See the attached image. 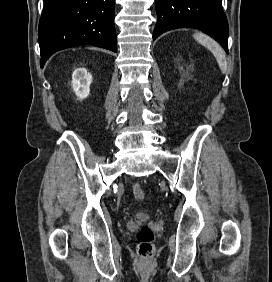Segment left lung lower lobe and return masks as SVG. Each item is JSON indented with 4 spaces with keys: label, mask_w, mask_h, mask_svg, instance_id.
I'll use <instances>...</instances> for the list:
<instances>
[{
    "label": "left lung lower lobe",
    "mask_w": 272,
    "mask_h": 282,
    "mask_svg": "<svg viewBox=\"0 0 272 282\" xmlns=\"http://www.w3.org/2000/svg\"><path fill=\"white\" fill-rule=\"evenodd\" d=\"M222 0H156L157 23L153 32L160 34L180 27H195L221 44L228 54V22Z\"/></svg>",
    "instance_id": "1"
}]
</instances>
